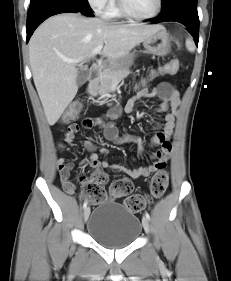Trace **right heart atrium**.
Returning a JSON list of instances; mask_svg holds the SVG:
<instances>
[{
    "mask_svg": "<svg viewBox=\"0 0 231 281\" xmlns=\"http://www.w3.org/2000/svg\"><path fill=\"white\" fill-rule=\"evenodd\" d=\"M113 0H87L89 6L97 13H104Z\"/></svg>",
    "mask_w": 231,
    "mask_h": 281,
    "instance_id": "right-heart-atrium-1",
    "label": "right heart atrium"
}]
</instances>
